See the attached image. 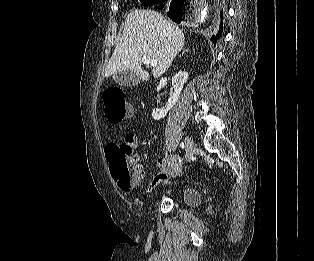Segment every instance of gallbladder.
<instances>
[{
    "instance_id": "gallbladder-1",
    "label": "gallbladder",
    "mask_w": 314,
    "mask_h": 261,
    "mask_svg": "<svg viewBox=\"0 0 314 261\" xmlns=\"http://www.w3.org/2000/svg\"><path fill=\"white\" fill-rule=\"evenodd\" d=\"M113 80L117 84L125 87H134L138 85L141 81L140 76L130 70L116 73L113 76Z\"/></svg>"
}]
</instances>
